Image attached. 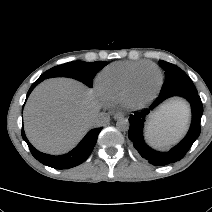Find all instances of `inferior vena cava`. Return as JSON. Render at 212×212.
<instances>
[{
    "instance_id": "obj_1",
    "label": "inferior vena cava",
    "mask_w": 212,
    "mask_h": 212,
    "mask_svg": "<svg viewBox=\"0 0 212 212\" xmlns=\"http://www.w3.org/2000/svg\"><path fill=\"white\" fill-rule=\"evenodd\" d=\"M108 119L109 116L106 113H98L92 117L91 124L93 127H100L105 125Z\"/></svg>"
}]
</instances>
